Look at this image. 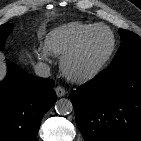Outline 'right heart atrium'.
<instances>
[{"mask_svg":"<svg viewBox=\"0 0 141 141\" xmlns=\"http://www.w3.org/2000/svg\"><path fill=\"white\" fill-rule=\"evenodd\" d=\"M36 56L41 61H50V53L46 49H38Z\"/></svg>","mask_w":141,"mask_h":141,"instance_id":"d8ad5b80","label":"right heart atrium"}]
</instances>
